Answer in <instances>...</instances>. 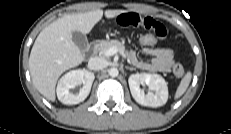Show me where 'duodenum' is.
Here are the masks:
<instances>
[{
    "instance_id": "duodenum-1",
    "label": "duodenum",
    "mask_w": 231,
    "mask_h": 134,
    "mask_svg": "<svg viewBox=\"0 0 231 134\" xmlns=\"http://www.w3.org/2000/svg\"><path fill=\"white\" fill-rule=\"evenodd\" d=\"M98 43H99V41H98V40H96V41L92 42V44H91V48H92V49H95V48L97 47Z\"/></svg>"
}]
</instances>
